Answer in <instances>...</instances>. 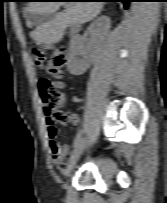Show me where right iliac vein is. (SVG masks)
Instances as JSON below:
<instances>
[{
    "label": "right iliac vein",
    "mask_w": 167,
    "mask_h": 203,
    "mask_svg": "<svg viewBox=\"0 0 167 203\" xmlns=\"http://www.w3.org/2000/svg\"><path fill=\"white\" fill-rule=\"evenodd\" d=\"M85 144H86V140L82 139L79 142V144L76 146L74 152L72 153V155L69 159V163H68V166H67L66 171H65V177H68L69 174L71 173V171L76 166L78 159L80 158L83 150L85 149Z\"/></svg>",
    "instance_id": "1"
}]
</instances>
